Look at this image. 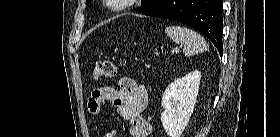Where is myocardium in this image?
Wrapping results in <instances>:
<instances>
[{"instance_id": "1", "label": "myocardium", "mask_w": 280, "mask_h": 137, "mask_svg": "<svg viewBox=\"0 0 280 137\" xmlns=\"http://www.w3.org/2000/svg\"><path fill=\"white\" fill-rule=\"evenodd\" d=\"M110 6H117L116 11H122L129 8L134 0H106Z\"/></svg>"}]
</instances>
